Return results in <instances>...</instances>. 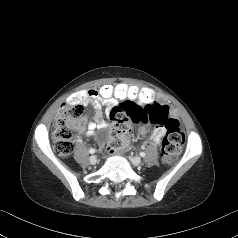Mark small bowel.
<instances>
[{
    "mask_svg": "<svg viewBox=\"0 0 238 238\" xmlns=\"http://www.w3.org/2000/svg\"><path fill=\"white\" fill-rule=\"evenodd\" d=\"M98 89H91L86 91H80L74 94V96L70 99L71 102L75 103H81V104H91L94 107V122L88 121L87 118H84L80 124V129L85 130L87 135L93 136L95 134L96 129H104L106 127V122L104 121V112L103 108L107 107L108 109H112L113 107L123 105L124 102L121 103H114L110 101H103L98 96ZM159 104V103H156ZM167 106V105H164ZM173 115L174 117L176 115V112L174 109ZM154 124V123H153ZM155 125V124H154ZM164 125L157 126L155 125L154 129L152 130L150 134V139L158 144L164 134Z\"/></svg>",
    "mask_w": 238,
    "mask_h": 238,
    "instance_id": "obj_1",
    "label": "small bowel"
}]
</instances>
